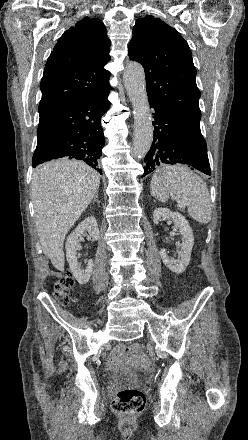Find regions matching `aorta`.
<instances>
[{
	"instance_id": "obj_1",
	"label": "aorta",
	"mask_w": 248,
	"mask_h": 440,
	"mask_svg": "<svg viewBox=\"0 0 248 440\" xmlns=\"http://www.w3.org/2000/svg\"><path fill=\"white\" fill-rule=\"evenodd\" d=\"M123 78L134 110L133 156L143 158L150 150L153 138L144 68L137 62H130Z\"/></svg>"
}]
</instances>
